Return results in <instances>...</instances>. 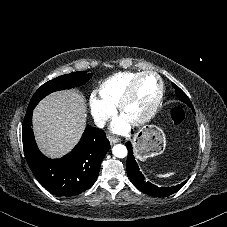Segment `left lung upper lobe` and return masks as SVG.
I'll use <instances>...</instances> for the list:
<instances>
[{"label":"left lung upper lobe","instance_id":"5c2ea615","mask_svg":"<svg viewBox=\"0 0 227 227\" xmlns=\"http://www.w3.org/2000/svg\"><path fill=\"white\" fill-rule=\"evenodd\" d=\"M172 85L175 89L176 95L179 98V100L186 103L188 106L191 107V109H193L192 104L187 95L177 85H175L174 83Z\"/></svg>","mask_w":227,"mask_h":227}]
</instances>
